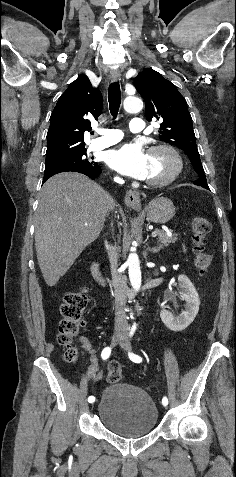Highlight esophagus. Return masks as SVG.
Masks as SVG:
<instances>
[{
	"instance_id": "obj_1",
	"label": "esophagus",
	"mask_w": 236,
	"mask_h": 477,
	"mask_svg": "<svg viewBox=\"0 0 236 477\" xmlns=\"http://www.w3.org/2000/svg\"><path fill=\"white\" fill-rule=\"evenodd\" d=\"M120 78H121V74H120L119 70H112L111 71V73H110L111 81L116 82V81L120 80ZM124 202H125L126 206H128L130 208H133V209H136V210L141 208V198H140V195L137 191L128 190L126 195H125Z\"/></svg>"
}]
</instances>
